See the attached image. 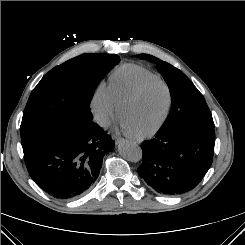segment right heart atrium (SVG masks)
Listing matches in <instances>:
<instances>
[{
	"instance_id": "1",
	"label": "right heart atrium",
	"mask_w": 245,
	"mask_h": 245,
	"mask_svg": "<svg viewBox=\"0 0 245 245\" xmlns=\"http://www.w3.org/2000/svg\"><path fill=\"white\" fill-rule=\"evenodd\" d=\"M91 110L95 120L102 126H109L118 112L116 102L111 88L105 82H100L91 99Z\"/></svg>"
}]
</instances>
